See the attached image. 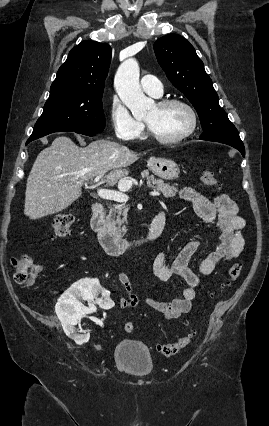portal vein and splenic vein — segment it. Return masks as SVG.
I'll return each instance as SVG.
<instances>
[{
    "label": "portal vein and splenic vein",
    "instance_id": "18ae733b",
    "mask_svg": "<svg viewBox=\"0 0 269 426\" xmlns=\"http://www.w3.org/2000/svg\"><path fill=\"white\" fill-rule=\"evenodd\" d=\"M102 178V176H97L94 179V183H98L99 180ZM96 186V185H95ZM126 187H121L120 188V192L119 191H113V190H108V189H98L97 193L98 196L102 199L105 200H112V201H116V202H127L129 197L124 193V191L126 190ZM151 196H160L159 192H150Z\"/></svg>",
    "mask_w": 269,
    "mask_h": 426
}]
</instances>
